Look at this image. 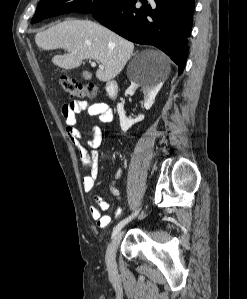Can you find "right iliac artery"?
<instances>
[{
    "mask_svg": "<svg viewBox=\"0 0 247 299\" xmlns=\"http://www.w3.org/2000/svg\"><path fill=\"white\" fill-rule=\"evenodd\" d=\"M139 211H136L135 213H133L131 216L125 218L124 220H122L121 222H119L116 227L113 230L112 236H115L130 220H132Z\"/></svg>",
    "mask_w": 247,
    "mask_h": 299,
    "instance_id": "obj_1",
    "label": "right iliac artery"
}]
</instances>
